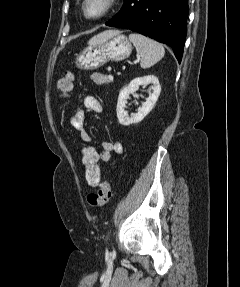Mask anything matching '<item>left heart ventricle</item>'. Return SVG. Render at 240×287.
Wrapping results in <instances>:
<instances>
[{
    "label": "left heart ventricle",
    "instance_id": "1",
    "mask_svg": "<svg viewBox=\"0 0 240 287\" xmlns=\"http://www.w3.org/2000/svg\"><path fill=\"white\" fill-rule=\"evenodd\" d=\"M104 7V0H88L86 9L89 15H97Z\"/></svg>",
    "mask_w": 240,
    "mask_h": 287
}]
</instances>
